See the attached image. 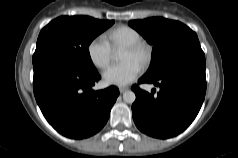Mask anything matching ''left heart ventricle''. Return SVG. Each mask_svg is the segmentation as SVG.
<instances>
[{
	"label": "left heart ventricle",
	"mask_w": 238,
	"mask_h": 158,
	"mask_svg": "<svg viewBox=\"0 0 238 158\" xmlns=\"http://www.w3.org/2000/svg\"><path fill=\"white\" fill-rule=\"evenodd\" d=\"M121 60L122 61H127V60H134L136 62H138L140 64V57L139 55L131 52V51H128L126 49H124L123 53H122V56H121Z\"/></svg>",
	"instance_id": "b2bd125f"
}]
</instances>
